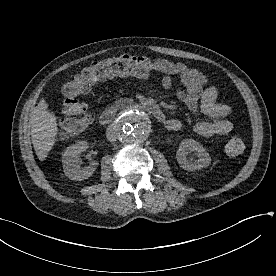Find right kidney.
Listing matches in <instances>:
<instances>
[{"label":"right kidney","instance_id":"obj_1","mask_svg":"<svg viewBox=\"0 0 276 276\" xmlns=\"http://www.w3.org/2000/svg\"><path fill=\"white\" fill-rule=\"evenodd\" d=\"M85 141L69 146L63 154L62 163L65 175L71 180H84L92 176L98 165L97 161H92L88 166L81 167L79 154L88 148Z\"/></svg>","mask_w":276,"mask_h":276}]
</instances>
